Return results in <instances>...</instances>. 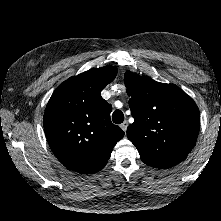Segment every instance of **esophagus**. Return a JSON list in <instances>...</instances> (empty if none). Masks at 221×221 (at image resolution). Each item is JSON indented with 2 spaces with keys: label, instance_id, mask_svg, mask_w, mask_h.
<instances>
[{
  "label": "esophagus",
  "instance_id": "1",
  "mask_svg": "<svg viewBox=\"0 0 221 221\" xmlns=\"http://www.w3.org/2000/svg\"><path fill=\"white\" fill-rule=\"evenodd\" d=\"M127 127H128V121H124V122L121 124L122 130H123L124 132H126Z\"/></svg>",
  "mask_w": 221,
  "mask_h": 221
}]
</instances>
